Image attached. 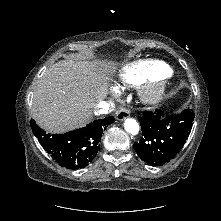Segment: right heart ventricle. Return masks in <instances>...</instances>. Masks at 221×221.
Listing matches in <instances>:
<instances>
[{"mask_svg":"<svg viewBox=\"0 0 221 221\" xmlns=\"http://www.w3.org/2000/svg\"><path fill=\"white\" fill-rule=\"evenodd\" d=\"M168 66L160 61H139L125 66L120 79L129 86H139L145 82L165 77L169 74Z\"/></svg>","mask_w":221,"mask_h":221,"instance_id":"1","label":"right heart ventricle"}]
</instances>
